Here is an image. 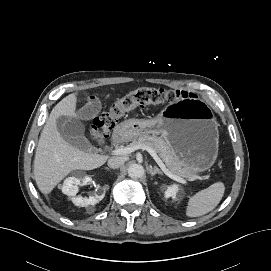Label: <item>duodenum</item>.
Wrapping results in <instances>:
<instances>
[{
    "mask_svg": "<svg viewBox=\"0 0 271 271\" xmlns=\"http://www.w3.org/2000/svg\"><path fill=\"white\" fill-rule=\"evenodd\" d=\"M126 137V131L124 129H117L112 135V141L115 143L121 142Z\"/></svg>",
    "mask_w": 271,
    "mask_h": 271,
    "instance_id": "obj_1",
    "label": "duodenum"
}]
</instances>
